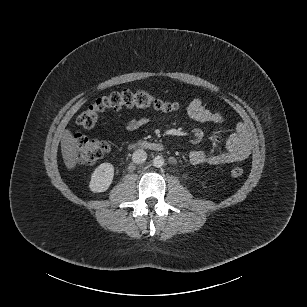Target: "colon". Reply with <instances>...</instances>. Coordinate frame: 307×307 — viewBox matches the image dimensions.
I'll list each match as a JSON object with an SVG mask.
<instances>
[{"label":"colon","instance_id":"obj_1","mask_svg":"<svg viewBox=\"0 0 307 307\" xmlns=\"http://www.w3.org/2000/svg\"><path fill=\"white\" fill-rule=\"evenodd\" d=\"M181 104L157 99L145 90H123L95 100L78 116L77 123L83 128L90 129L96 125L99 115L108 110L137 107L169 112L179 109ZM75 141L78 148L79 162L84 166L95 164L109 150L108 143L102 140L76 135ZM243 173L244 170L240 166H234L230 169V174L233 177H240Z\"/></svg>","mask_w":307,"mask_h":307}]
</instances>
